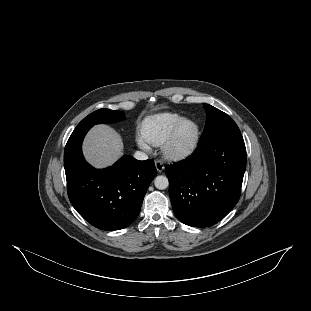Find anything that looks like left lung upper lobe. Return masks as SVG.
I'll return each mask as SVG.
<instances>
[{
	"instance_id": "5c2ea615",
	"label": "left lung upper lobe",
	"mask_w": 311,
	"mask_h": 311,
	"mask_svg": "<svg viewBox=\"0 0 311 311\" xmlns=\"http://www.w3.org/2000/svg\"><path fill=\"white\" fill-rule=\"evenodd\" d=\"M206 110V125L199 143L226 132H240L236 123L224 112L209 105L203 104Z\"/></svg>"
}]
</instances>
